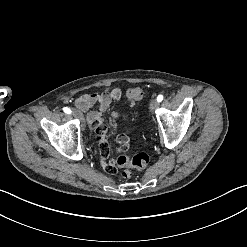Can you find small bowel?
<instances>
[{"label": "small bowel", "mask_w": 247, "mask_h": 247, "mask_svg": "<svg viewBox=\"0 0 247 247\" xmlns=\"http://www.w3.org/2000/svg\"><path fill=\"white\" fill-rule=\"evenodd\" d=\"M122 98V91L119 88H114L110 92L102 94H84L75 100V106L81 111H88L94 105H97L96 111H90L87 114V121L93 125L96 133L100 136V140L96 143V148L99 151L100 162L103 171L106 174H116L117 168L113 166L114 158L111 157L109 146L107 145V135L110 138H115L118 144L116 147L117 153H126L130 147V138L123 134H118V124L120 114L114 111L109 118L110 127L107 129L103 123V113L108 109L111 102L118 101Z\"/></svg>", "instance_id": "1"}]
</instances>
